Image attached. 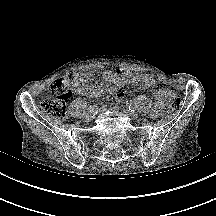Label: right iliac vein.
I'll return each instance as SVG.
<instances>
[{
    "label": "right iliac vein",
    "mask_w": 216,
    "mask_h": 216,
    "mask_svg": "<svg viewBox=\"0 0 216 216\" xmlns=\"http://www.w3.org/2000/svg\"><path fill=\"white\" fill-rule=\"evenodd\" d=\"M93 118H94V113L91 112V111H89V112L85 115V119H86L87 121H90V120H92Z\"/></svg>",
    "instance_id": "1"
}]
</instances>
